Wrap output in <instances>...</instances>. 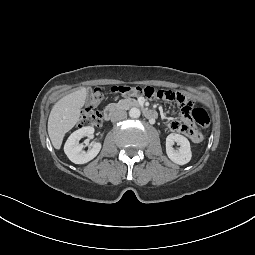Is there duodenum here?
Segmentation results:
<instances>
[{
	"label": "duodenum",
	"instance_id": "410a0bca",
	"mask_svg": "<svg viewBox=\"0 0 255 255\" xmlns=\"http://www.w3.org/2000/svg\"><path fill=\"white\" fill-rule=\"evenodd\" d=\"M129 104L133 107H138V108L142 107L145 117H147L149 120L156 119L157 113L151 109L144 108L141 103H139L137 101H131ZM119 110H120V106H118V105L112 104V105L107 106L103 112L104 119L107 121L111 120L112 118L115 117V115L117 114V112Z\"/></svg>",
	"mask_w": 255,
	"mask_h": 255
}]
</instances>
